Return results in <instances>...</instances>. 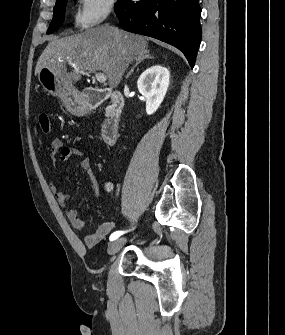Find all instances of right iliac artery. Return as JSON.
<instances>
[{
	"label": "right iliac artery",
	"instance_id": "1",
	"mask_svg": "<svg viewBox=\"0 0 285 335\" xmlns=\"http://www.w3.org/2000/svg\"><path fill=\"white\" fill-rule=\"evenodd\" d=\"M124 233H125V231H116V232L112 233L111 236H110V241H113V240L117 239L119 236H121Z\"/></svg>",
	"mask_w": 285,
	"mask_h": 335
}]
</instances>
